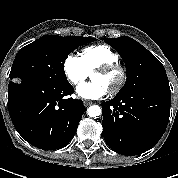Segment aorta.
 Here are the masks:
<instances>
[{
	"label": "aorta",
	"mask_w": 178,
	"mask_h": 178,
	"mask_svg": "<svg viewBox=\"0 0 178 178\" xmlns=\"http://www.w3.org/2000/svg\"><path fill=\"white\" fill-rule=\"evenodd\" d=\"M102 113L101 108L98 105H92L87 109V114L89 117L97 118Z\"/></svg>",
	"instance_id": "aorta-1"
}]
</instances>
